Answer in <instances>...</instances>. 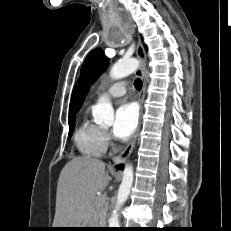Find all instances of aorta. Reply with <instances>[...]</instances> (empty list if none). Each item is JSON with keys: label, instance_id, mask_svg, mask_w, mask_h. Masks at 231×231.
I'll return each instance as SVG.
<instances>
[{"label": "aorta", "instance_id": "obj_1", "mask_svg": "<svg viewBox=\"0 0 231 231\" xmlns=\"http://www.w3.org/2000/svg\"><path fill=\"white\" fill-rule=\"evenodd\" d=\"M139 61L137 59H123L115 63L111 70L110 76L113 79H121L132 74L138 67ZM93 118L97 124H112L114 121V110L110 101L104 97L100 98L97 105L92 111ZM133 167L126 165L123 172L122 183L118 190L117 202L115 209L109 219V228H119L120 221L118 211L124 202L127 200L133 184Z\"/></svg>", "mask_w": 231, "mask_h": 231}]
</instances>
